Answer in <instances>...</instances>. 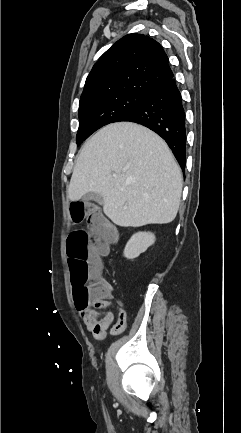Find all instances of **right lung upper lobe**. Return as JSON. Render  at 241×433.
<instances>
[{
  "instance_id": "obj_1",
  "label": "right lung upper lobe",
  "mask_w": 241,
  "mask_h": 433,
  "mask_svg": "<svg viewBox=\"0 0 241 433\" xmlns=\"http://www.w3.org/2000/svg\"><path fill=\"white\" fill-rule=\"evenodd\" d=\"M168 62L157 41L143 34L126 35L95 63L79 103L125 91L146 93L173 77Z\"/></svg>"
}]
</instances>
